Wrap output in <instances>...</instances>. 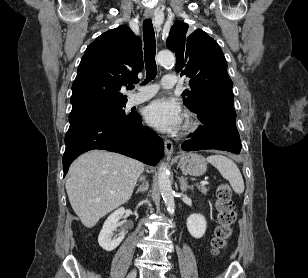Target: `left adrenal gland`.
Here are the masks:
<instances>
[{
	"mask_svg": "<svg viewBox=\"0 0 308 278\" xmlns=\"http://www.w3.org/2000/svg\"><path fill=\"white\" fill-rule=\"evenodd\" d=\"M180 189L184 193L187 191V189L193 190V187L188 185L187 179L183 176L180 177Z\"/></svg>",
	"mask_w": 308,
	"mask_h": 278,
	"instance_id": "a2214340",
	"label": "left adrenal gland"
}]
</instances>
